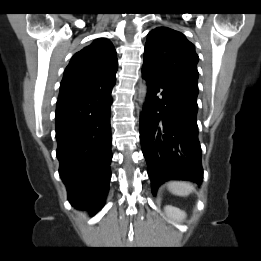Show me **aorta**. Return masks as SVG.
<instances>
[{"label": "aorta", "instance_id": "obj_1", "mask_svg": "<svg viewBox=\"0 0 261 261\" xmlns=\"http://www.w3.org/2000/svg\"><path fill=\"white\" fill-rule=\"evenodd\" d=\"M146 93H147L146 83L142 82L141 86H140V102H141V104H143L144 101H145Z\"/></svg>", "mask_w": 261, "mask_h": 261}]
</instances>
